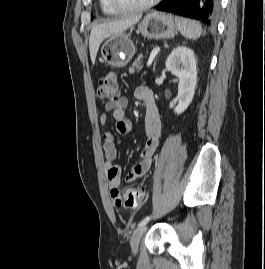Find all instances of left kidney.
<instances>
[{
    "label": "left kidney",
    "mask_w": 265,
    "mask_h": 269,
    "mask_svg": "<svg viewBox=\"0 0 265 269\" xmlns=\"http://www.w3.org/2000/svg\"><path fill=\"white\" fill-rule=\"evenodd\" d=\"M166 69L179 78L178 105L174 112L183 113L193 100L197 84L196 59L193 50L178 46L166 60Z\"/></svg>",
    "instance_id": "obj_1"
}]
</instances>
